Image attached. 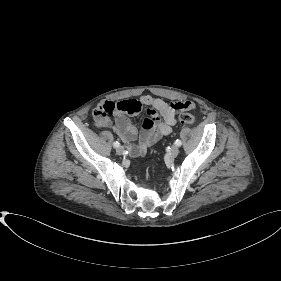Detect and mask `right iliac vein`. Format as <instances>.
<instances>
[{"mask_svg": "<svg viewBox=\"0 0 281 281\" xmlns=\"http://www.w3.org/2000/svg\"><path fill=\"white\" fill-rule=\"evenodd\" d=\"M116 153L118 155H122L124 153V148L122 146L117 147Z\"/></svg>", "mask_w": 281, "mask_h": 281, "instance_id": "1", "label": "right iliac vein"}]
</instances>
